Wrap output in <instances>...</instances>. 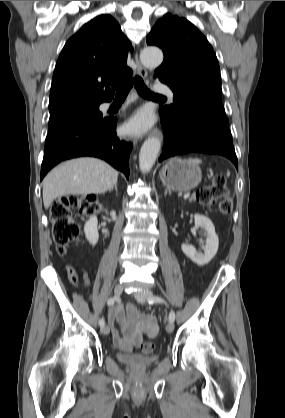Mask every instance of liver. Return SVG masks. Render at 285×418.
I'll return each mask as SVG.
<instances>
[{
	"label": "liver",
	"mask_w": 285,
	"mask_h": 418,
	"mask_svg": "<svg viewBox=\"0 0 285 418\" xmlns=\"http://www.w3.org/2000/svg\"><path fill=\"white\" fill-rule=\"evenodd\" d=\"M118 172L96 158H77L61 163L43 180V203L48 209L53 201L65 195L99 194L111 190Z\"/></svg>",
	"instance_id": "1"
}]
</instances>
